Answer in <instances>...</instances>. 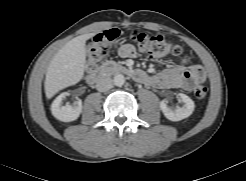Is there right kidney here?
I'll list each match as a JSON object with an SVG mask.
<instances>
[{"mask_svg": "<svg viewBox=\"0 0 246 181\" xmlns=\"http://www.w3.org/2000/svg\"><path fill=\"white\" fill-rule=\"evenodd\" d=\"M66 96L65 93L60 94L51 105L52 115L63 122H71L76 120L82 112L81 100L75 101L72 105L66 104L62 106V100Z\"/></svg>", "mask_w": 246, "mask_h": 181, "instance_id": "obj_1", "label": "right kidney"}]
</instances>
